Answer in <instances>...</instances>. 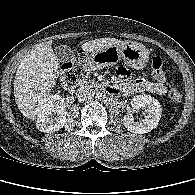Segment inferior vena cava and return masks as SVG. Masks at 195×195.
I'll return each mask as SVG.
<instances>
[{"instance_id":"obj_1","label":"inferior vena cava","mask_w":195,"mask_h":195,"mask_svg":"<svg viewBox=\"0 0 195 195\" xmlns=\"http://www.w3.org/2000/svg\"><path fill=\"white\" fill-rule=\"evenodd\" d=\"M93 93L90 90L84 89L77 93V98L79 102H84L91 100L93 98Z\"/></svg>"}]
</instances>
